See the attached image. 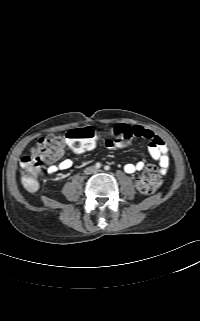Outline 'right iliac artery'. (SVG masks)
I'll return each mask as SVG.
<instances>
[{"instance_id": "right-iliac-artery-1", "label": "right iliac artery", "mask_w": 200, "mask_h": 321, "mask_svg": "<svg viewBox=\"0 0 200 321\" xmlns=\"http://www.w3.org/2000/svg\"><path fill=\"white\" fill-rule=\"evenodd\" d=\"M95 167H96V168H101V163H99V162L96 163V164H95Z\"/></svg>"}]
</instances>
